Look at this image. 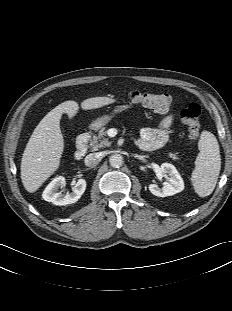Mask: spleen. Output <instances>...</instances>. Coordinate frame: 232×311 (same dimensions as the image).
Wrapping results in <instances>:
<instances>
[{"instance_id": "3e777b00", "label": "spleen", "mask_w": 232, "mask_h": 311, "mask_svg": "<svg viewBox=\"0 0 232 311\" xmlns=\"http://www.w3.org/2000/svg\"><path fill=\"white\" fill-rule=\"evenodd\" d=\"M200 150L192 172V184L200 197L209 196L217 183L221 169L219 144L214 134L203 131L198 142Z\"/></svg>"}]
</instances>
